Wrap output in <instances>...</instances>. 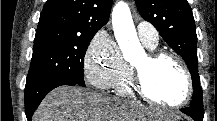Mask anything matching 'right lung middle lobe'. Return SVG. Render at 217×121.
<instances>
[{
    "instance_id": "1",
    "label": "right lung middle lobe",
    "mask_w": 217,
    "mask_h": 121,
    "mask_svg": "<svg viewBox=\"0 0 217 121\" xmlns=\"http://www.w3.org/2000/svg\"><path fill=\"white\" fill-rule=\"evenodd\" d=\"M94 35L56 27L37 29L26 86L52 76L69 77L85 86L84 55Z\"/></svg>"
}]
</instances>
